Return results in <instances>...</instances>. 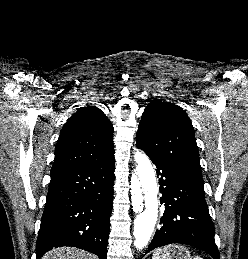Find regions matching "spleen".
I'll use <instances>...</instances> for the list:
<instances>
[{
  "label": "spleen",
  "mask_w": 248,
  "mask_h": 259,
  "mask_svg": "<svg viewBox=\"0 0 248 259\" xmlns=\"http://www.w3.org/2000/svg\"><path fill=\"white\" fill-rule=\"evenodd\" d=\"M161 253H162V249L155 250V252L153 253L152 259H161ZM193 259H202V258L199 256H196Z\"/></svg>",
  "instance_id": "3e777b00"
}]
</instances>
